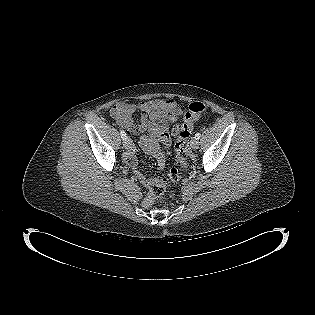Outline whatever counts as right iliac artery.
<instances>
[{
    "instance_id": "right-iliac-artery-1",
    "label": "right iliac artery",
    "mask_w": 315,
    "mask_h": 315,
    "mask_svg": "<svg viewBox=\"0 0 315 315\" xmlns=\"http://www.w3.org/2000/svg\"><path fill=\"white\" fill-rule=\"evenodd\" d=\"M120 135H121V138L123 140H125L127 138L126 133H125V131L123 129H120Z\"/></svg>"
}]
</instances>
